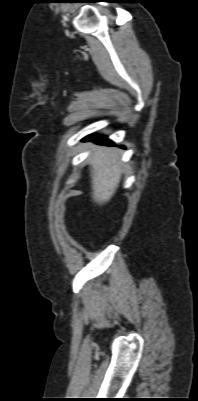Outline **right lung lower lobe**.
Masks as SVG:
<instances>
[{
  "mask_svg": "<svg viewBox=\"0 0 198 401\" xmlns=\"http://www.w3.org/2000/svg\"><path fill=\"white\" fill-rule=\"evenodd\" d=\"M90 140L101 144H112L110 140L106 139L103 136L89 135L84 139V141H90Z\"/></svg>",
  "mask_w": 198,
  "mask_h": 401,
  "instance_id": "98d812e1",
  "label": "right lung lower lobe"
}]
</instances>
